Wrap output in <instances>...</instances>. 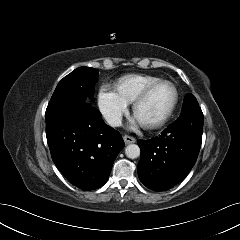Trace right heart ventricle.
Listing matches in <instances>:
<instances>
[{"instance_id": "right-heart-ventricle-1", "label": "right heart ventricle", "mask_w": 240, "mask_h": 240, "mask_svg": "<svg viewBox=\"0 0 240 240\" xmlns=\"http://www.w3.org/2000/svg\"><path fill=\"white\" fill-rule=\"evenodd\" d=\"M159 81L162 79L152 75L129 74L119 78L114 85V90L124 102L130 104L147 87Z\"/></svg>"}]
</instances>
